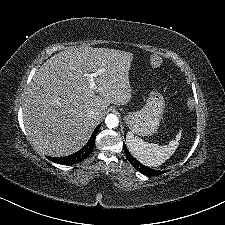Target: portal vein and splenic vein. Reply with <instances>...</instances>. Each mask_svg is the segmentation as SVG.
<instances>
[{
  "instance_id": "obj_1",
  "label": "portal vein and splenic vein",
  "mask_w": 225,
  "mask_h": 225,
  "mask_svg": "<svg viewBox=\"0 0 225 225\" xmlns=\"http://www.w3.org/2000/svg\"><path fill=\"white\" fill-rule=\"evenodd\" d=\"M86 76H87L88 81H89V87L91 89H96V84H95V81H94L95 74H87Z\"/></svg>"
}]
</instances>
